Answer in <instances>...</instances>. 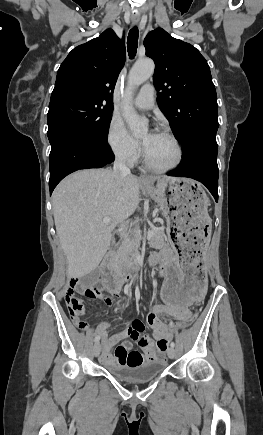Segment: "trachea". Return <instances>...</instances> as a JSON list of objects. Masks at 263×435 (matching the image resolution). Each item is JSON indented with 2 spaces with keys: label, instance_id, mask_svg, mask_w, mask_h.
Listing matches in <instances>:
<instances>
[{
  "label": "trachea",
  "instance_id": "obj_1",
  "mask_svg": "<svg viewBox=\"0 0 263 435\" xmlns=\"http://www.w3.org/2000/svg\"><path fill=\"white\" fill-rule=\"evenodd\" d=\"M138 37H139V31L136 26H134L128 34L127 37V47H128V53L130 58H134L137 52V45H138Z\"/></svg>",
  "mask_w": 263,
  "mask_h": 435
}]
</instances>
